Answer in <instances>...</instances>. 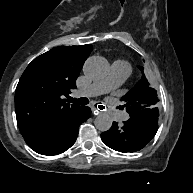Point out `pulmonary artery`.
Instances as JSON below:
<instances>
[{
  "label": "pulmonary artery",
  "mask_w": 193,
  "mask_h": 193,
  "mask_svg": "<svg viewBox=\"0 0 193 193\" xmlns=\"http://www.w3.org/2000/svg\"><path fill=\"white\" fill-rule=\"evenodd\" d=\"M131 67L122 61H116L112 64L111 74L108 79L96 82L83 90L84 95L89 97L100 96L107 93L111 89L117 88L122 84L130 75ZM112 112V111H111ZM119 122L122 119H118Z\"/></svg>",
  "instance_id": "pulmonary-artery-1"
}]
</instances>
